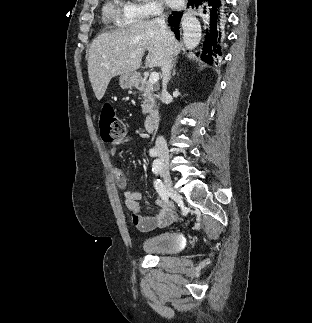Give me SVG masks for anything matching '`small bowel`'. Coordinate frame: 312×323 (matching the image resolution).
Segmentation results:
<instances>
[{
  "instance_id": "1",
  "label": "small bowel",
  "mask_w": 312,
  "mask_h": 323,
  "mask_svg": "<svg viewBox=\"0 0 312 323\" xmlns=\"http://www.w3.org/2000/svg\"><path fill=\"white\" fill-rule=\"evenodd\" d=\"M130 141L129 137H125L113 146L110 147L109 153L115 155L117 153V145L127 143ZM112 174L118 185L122 190L123 200L126 208L131 212V221L133 225L141 232H152L154 230L169 226L175 221V211L172 203H164L158 201L160 211L154 216H143L141 208L138 203L141 195L137 191H131L127 188V178L123 171L117 167H112Z\"/></svg>"
}]
</instances>
